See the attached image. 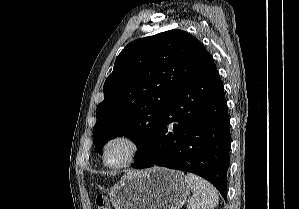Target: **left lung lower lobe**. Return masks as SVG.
Listing matches in <instances>:
<instances>
[{"instance_id": "1", "label": "left lung lower lobe", "mask_w": 299, "mask_h": 209, "mask_svg": "<svg viewBox=\"0 0 299 209\" xmlns=\"http://www.w3.org/2000/svg\"><path fill=\"white\" fill-rule=\"evenodd\" d=\"M230 143L224 87L211 60L173 95L131 166L192 172L210 181L226 200Z\"/></svg>"}]
</instances>
